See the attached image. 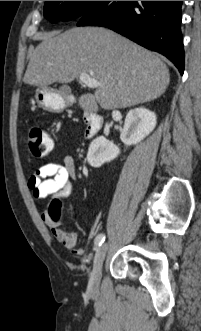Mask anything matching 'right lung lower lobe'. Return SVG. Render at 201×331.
I'll return each mask as SVG.
<instances>
[{
    "label": "right lung lower lobe",
    "instance_id": "right-lung-lower-lobe-1",
    "mask_svg": "<svg viewBox=\"0 0 201 331\" xmlns=\"http://www.w3.org/2000/svg\"><path fill=\"white\" fill-rule=\"evenodd\" d=\"M183 1H102L77 26H103L134 42L157 51L184 71V49L180 30Z\"/></svg>",
    "mask_w": 201,
    "mask_h": 331
}]
</instances>
